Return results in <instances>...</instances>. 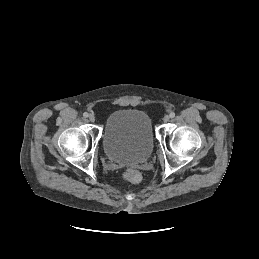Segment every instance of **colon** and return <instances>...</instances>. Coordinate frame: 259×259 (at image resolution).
<instances>
[{
  "label": "colon",
  "instance_id": "5ec220e1",
  "mask_svg": "<svg viewBox=\"0 0 259 259\" xmlns=\"http://www.w3.org/2000/svg\"><path fill=\"white\" fill-rule=\"evenodd\" d=\"M123 179L130 183H138L142 179V175L138 170L128 168L123 172Z\"/></svg>",
  "mask_w": 259,
  "mask_h": 259
}]
</instances>
